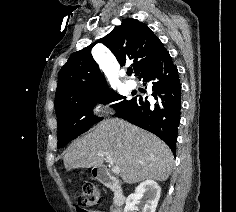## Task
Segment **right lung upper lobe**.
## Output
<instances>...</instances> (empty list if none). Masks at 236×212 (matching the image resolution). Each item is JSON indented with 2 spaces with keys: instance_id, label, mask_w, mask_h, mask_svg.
Segmentation results:
<instances>
[{
  "instance_id": "obj_1",
  "label": "right lung upper lobe",
  "mask_w": 236,
  "mask_h": 212,
  "mask_svg": "<svg viewBox=\"0 0 236 212\" xmlns=\"http://www.w3.org/2000/svg\"><path fill=\"white\" fill-rule=\"evenodd\" d=\"M98 42L111 50L121 66L126 61H133L137 77L163 46L152 30L136 19H124ZM94 45L73 53L61 68L55 95L56 111L79 98L108 90L106 80L91 56Z\"/></svg>"
}]
</instances>
